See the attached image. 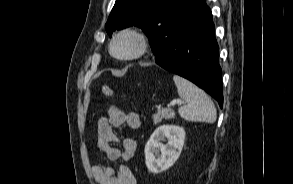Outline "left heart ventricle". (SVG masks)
<instances>
[{"mask_svg":"<svg viewBox=\"0 0 293 184\" xmlns=\"http://www.w3.org/2000/svg\"><path fill=\"white\" fill-rule=\"evenodd\" d=\"M137 49L135 38L130 35L120 37L114 45V50L118 55H129Z\"/></svg>","mask_w":293,"mask_h":184,"instance_id":"b2bd125f","label":"left heart ventricle"}]
</instances>
